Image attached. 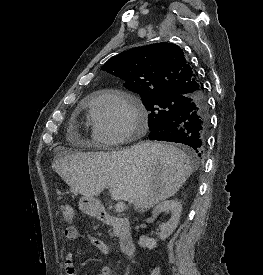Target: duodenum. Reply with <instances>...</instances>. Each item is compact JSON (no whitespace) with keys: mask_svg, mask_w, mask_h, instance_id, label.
Masks as SVG:
<instances>
[{"mask_svg":"<svg viewBox=\"0 0 263 275\" xmlns=\"http://www.w3.org/2000/svg\"><path fill=\"white\" fill-rule=\"evenodd\" d=\"M100 218L104 223L109 224L115 228L119 239L121 252L125 256L133 255L135 252V243L130 222L125 218L118 217L107 212L101 213Z\"/></svg>","mask_w":263,"mask_h":275,"instance_id":"duodenum-1","label":"duodenum"}]
</instances>
